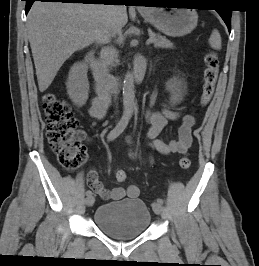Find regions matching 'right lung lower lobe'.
<instances>
[{
	"instance_id": "right-lung-lower-lobe-1",
	"label": "right lung lower lobe",
	"mask_w": 259,
	"mask_h": 266,
	"mask_svg": "<svg viewBox=\"0 0 259 266\" xmlns=\"http://www.w3.org/2000/svg\"><path fill=\"white\" fill-rule=\"evenodd\" d=\"M26 1L25 12L26 14L30 10L34 1H42V2H62V3H84V4H106L109 1H121L124 2L126 0H23ZM126 5V4H125Z\"/></svg>"
}]
</instances>
